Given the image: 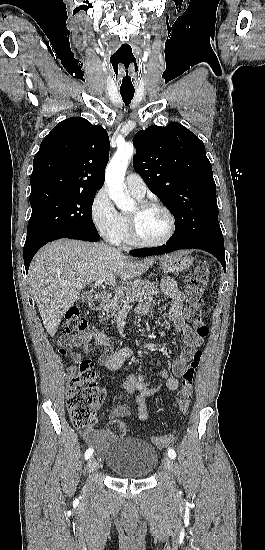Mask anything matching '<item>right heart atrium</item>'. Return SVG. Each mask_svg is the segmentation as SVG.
Segmentation results:
<instances>
[{
    "mask_svg": "<svg viewBox=\"0 0 265 550\" xmlns=\"http://www.w3.org/2000/svg\"><path fill=\"white\" fill-rule=\"evenodd\" d=\"M89 211L97 232L105 239L115 242L121 233L122 222L106 189L102 188L94 195Z\"/></svg>",
    "mask_w": 265,
    "mask_h": 550,
    "instance_id": "right-heart-atrium-1",
    "label": "right heart atrium"
}]
</instances>
